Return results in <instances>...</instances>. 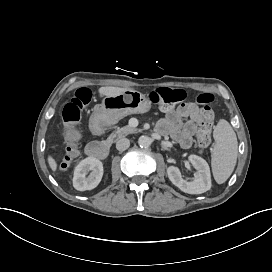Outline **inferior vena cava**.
Here are the masks:
<instances>
[{
  "instance_id": "602c4592",
  "label": "inferior vena cava",
  "mask_w": 272,
  "mask_h": 272,
  "mask_svg": "<svg viewBox=\"0 0 272 272\" xmlns=\"http://www.w3.org/2000/svg\"><path fill=\"white\" fill-rule=\"evenodd\" d=\"M129 146H130V142L127 138H120L116 143V148L119 151H124L128 149Z\"/></svg>"
}]
</instances>
